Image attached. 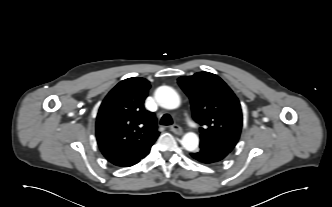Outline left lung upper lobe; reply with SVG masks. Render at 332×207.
<instances>
[{"label":"left lung upper lobe","mask_w":332,"mask_h":207,"mask_svg":"<svg viewBox=\"0 0 332 207\" xmlns=\"http://www.w3.org/2000/svg\"><path fill=\"white\" fill-rule=\"evenodd\" d=\"M178 84L190 98L193 119L202 126L200 146L230 153L242 128L241 106L233 91L209 72L180 77Z\"/></svg>","instance_id":"left-lung-upper-lobe-1"}]
</instances>
